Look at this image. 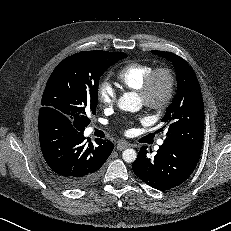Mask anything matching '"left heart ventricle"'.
I'll return each mask as SVG.
<instances>
[{
    "mask_svg": "<svg viewBox=\"0 0 231 231\" xmlns=\"http://www.w3.org/2000/svg\"><path fill=\"white\" fill-rule=\"evenodd\" d=\"M165 88V81L163 79L159 80L158 86H157V94L161 95Z\"/></svg>",
    "mask_w": 231,
    "mask_h": 231,
    "instance_id": "b2bd125f",
    "label": "left heart ventricle"
}]
</instances>
